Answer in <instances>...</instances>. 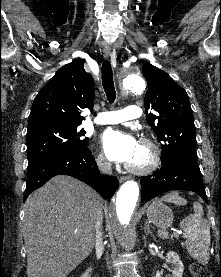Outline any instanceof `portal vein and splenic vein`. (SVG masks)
Here are the masks:
<instances>
[{
	"mask_svg": "<svg viewBox=\"0 0 221 277\" xmlns=\"http://www.w3.org/2000/svg\"><path fill=\"white\" fill-rule=\"evenodd\" d=\"M179 234H182V232H176V235H179ZM183 238H185V235L184 236H182Z\"/></svg>",
	"mask_w": 221,
	"mask_h": 277,
	"instance_id": "18ae733b",
	"label": "portal vein and splenic vein"
}]
</instances>
